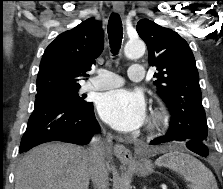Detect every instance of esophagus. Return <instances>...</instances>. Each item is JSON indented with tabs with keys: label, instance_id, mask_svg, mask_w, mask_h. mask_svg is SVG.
I'll return each mask as SVG.
<instances>
[{
	"label": "esophagus",
	"instance_id": "esophagus-1",
	"mask_svg": "<svg viewBox=\"0 0 223 189\" xmlns=\"http://www.w3.org/2000/svg\"><path fill=\"white\" fill-rule=\"evenodd\" d=\"M124 4L120 1H116L113 3V10L122 15L124 13ZM114 154L115 156L123 163V164H130L132 162V153L131 151L126 148L122 144H115L114 145Z\"/></svg>",
	"mask_w": 223,
	"mask_h": 189
}]
</instances>
